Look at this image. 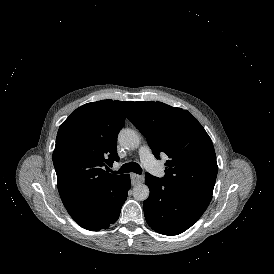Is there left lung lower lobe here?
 I'll return each instance as SVG.
<instances>
[{
  "label": "left lung lower lobe",
  "instance_id": "obj_1",
  "mask_svg": "<svg viewBox=\"0 0 274 274\" xmlns=\"http://www.w3.org/2000/svg\"><path fill=\"white\" fill-rule=\"evenodd\" d=\"M145 182L150 189L149 197L143 202L146 221L152 229L164 235H178L190 228L212 198L148 173Z\"/></svg>",
  "mask_w": 274,
  "mask_h": 274
}]
</instances>
